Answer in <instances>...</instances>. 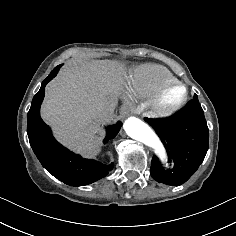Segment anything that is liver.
I'll return each instance as SVG.
<instances>
[{
	"instance_id": "1",
	"label": "liver",
	"mask_w": 236,
	"mask_h": 236,
	"mask_svg": "<svg viewBox=\"0 0 236 236\" xmlns=\"http://www.w3.org/2000/svg\"><path fill=\"white\" fill-rule=\"evenodd\" d=\"M109 64H74L65 67L46 88L44 121L68 146L87 156L99 151L96 133L105 122L99 112L115 106V87Z\"/></svg>"
}]
</instances>
